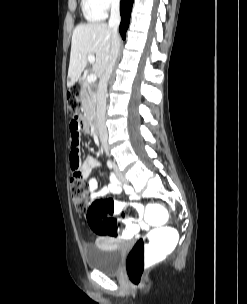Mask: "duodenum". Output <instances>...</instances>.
<instances>
[{"instance_id": "obj_1", "label": "duodenum", "mask_w": 247, "mask_h": 304, "mask_svg": "<svg viewBox=\"0 0 247 304\" xmlns=\"http://www.w3.org/2000/svg\"><path fill=\"white\" fill-rule=\"evenodd\" d=\"M78 83H80V81ZM86 88L87 87L85 85L81 86V89H83V90H85ZM96 119H97V116L94 115V116H92V119H91L90 122H91V124H93L94 126H96V129H99V123H96L97 122Z\"/></svg>"}]
</instances>
